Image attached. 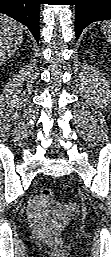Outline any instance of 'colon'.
<instances>
[{"instance_id":"5ec220e1","label":"colon","mask_w":111,"mask_h":257,"mask_svg":"<svg viewBox=\"0 0 111 257\" xmlns=\"http://www.w3.org/2000/svg\"><path fill=\"white\" fill-rule=\"evenodd\" d=\"M53 191L49 187H41L36 197V203L42 207L51 206L55 207V204L52 202Z\"/></svg>"}]
</instances>
